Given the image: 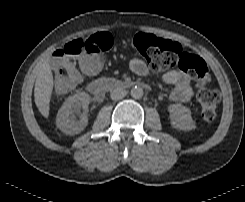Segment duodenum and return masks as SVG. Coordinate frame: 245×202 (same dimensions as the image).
Returning <instances> with one entry per match:
<instances>
[{"label":"duodenum","mask_w":245,"mask_h":202,"mask_svg":"<svg viewBox=\"0 0 245 202\" xmlns=\"http://www.w3.org/2000/svg\"><path fill=\"white\" fill-rule=\"evenodd\" d=\"M135 87L148 88V85L133 80L119 81V80L105 77L92 81L89 85V90L91 94L98 96L106 91L126 90Z\"/></svg>","instance_id":"410a0bca"}]
</instances>
